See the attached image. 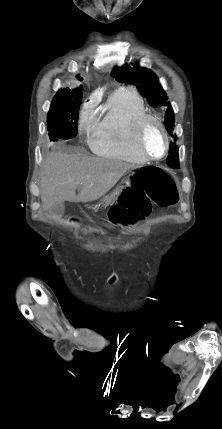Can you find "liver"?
<instances>
[{"mask_svg": "<svg viewBox=\"0 0 222 429\" xmlns=\"http://www.w3.org/2000/svg\"><path fill=\"white\" fill-rule=\"evenodd\" d=\"M134 165L116 159L53 152L44 161L40 193L42 208L58 203L91 202L105 195ZM81 191L76 195V188Z\"/></svg>", "mask_w": 222, "mask_h": 429, "instance_id": "obj_1", "label": "liver"}]
</instances>
